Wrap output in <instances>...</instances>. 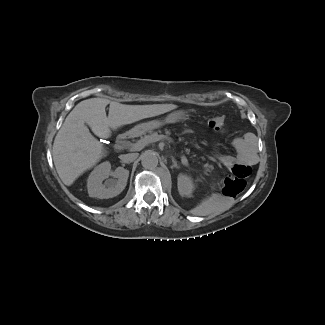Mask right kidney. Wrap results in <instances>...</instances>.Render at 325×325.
<instances>
[{
	"label": "right kidney",
	"instance_id": "1",
	"mask_svg": "<svg viewBox=\"0 0 325 325\" xmlns=\"http://www.w3.org/2000/svg\"><path fill=\"white\" fill-rule=\"evenodd\" d=\"M110 173L111 164L107 161L94 168L87 180V189L90 197L108 199L119 195L124 190L129 171L123 167H118L112 173L115 179L107 180L103 184V180L107 179Z\"/></svg>",
	"mask_w": 325,
	"mask_h": 325
}]
</instances>
